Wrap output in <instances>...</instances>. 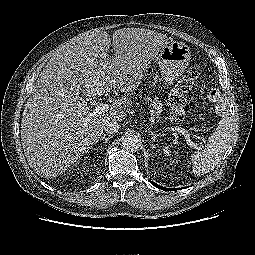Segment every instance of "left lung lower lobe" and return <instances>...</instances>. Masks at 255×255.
<instances>
[{
    "label": "left lung lower lobe",
    "instance_id": "obj_1",
    "mask_svg": "<svg viewBox=\"0 0 255 255\" xmlns=\"http://www.w3.org/2000/svg\"><path fill=\"white\" fill-rule=\"evenodd\" d=\"M155 187L159 188V189H162V190H166V191H171L173 189H169V188H165V187H162L154 182H151Z\"/></svg>",
    "mask_w": 255,
    "mask_h": 255
}]
</instances>
